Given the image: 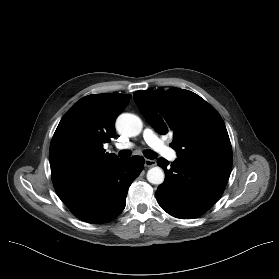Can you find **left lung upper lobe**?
<instances>
[{
    "label": "left lung upper lobe",
    "instance_id": "1",
    "mask_svg": "<svg viewBox=\"0 0 279 279\" xmlns=\"http://www.w3.org/2000/svg\"><path fill=\"white\" fill-rule=\"evenodd\" d=\"M134 101L159 134L173 133L185 160L233 163L228 132L219 113L197 94L180 88L136 91Z\"/></svg>",
    "mask_w": 279,
    "mask_h": 279
}]
</instances>
